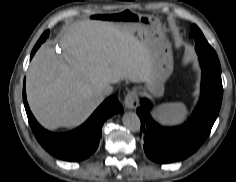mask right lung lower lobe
<instances>
[{
	"mask_svg": "<svg viewBox=\"0 0 236 182\" xmlns=\"http://www.w3.org/2000/svg\"><path fill=\"white\" fill-rule=\"evenodd\" d=\"M40 45L36 43L31 58ZM23 101L29 124L38 142L53 156L70 162L81 161L91 156L99 145L103 123L114 114L123 112L116 96H111L79 128L65 133H52L41 127L31 113L26 99L25 85Z\"/></svg>",
	"mask_w": 236,
	"mask_h": 182,
	"instance_id": "98d812e1",
	"label": "right lung lower lobe"
}]
</instances>
